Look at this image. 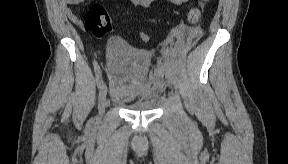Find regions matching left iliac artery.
<instances>
[{"instance_id": "left-iliac-artery-1", "label": "left iliac artery", "mask_w": 288, "mask_h": 164, "mask_svg": "<svg viewBox=\"0 0 288 164\" xmlns=\"http://www.w3.org/2000/svg\"><path fill=\"white\" fill-rule=\"evenodd\" d=\"M169 65H171V63H169ZM172 73H173V75H177L178 74V72L175 69L172 70Z\"/></svg>"}]
</instances>
